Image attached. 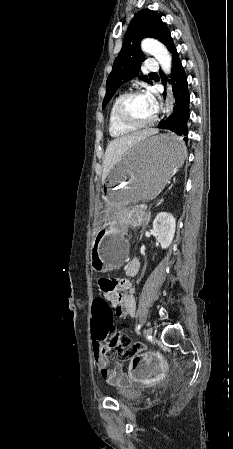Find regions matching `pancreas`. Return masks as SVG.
I'll return each instance as SVG.
<instances>
[{"label":"pancreas","instance_id":"obj_1","mask_svg":"<svg viewBox=\"0 0 233 449\" xmlns=\"http://www.w3.org/2000/svg\"><path fill=\"white\" fill-rule=\"evenodd\" d=\"M120 220L131 227H139L148 222V213L138 206L125 209L121 215Z\"/></svg>","mask_w":233,"mask_h":449}]
</instances>
